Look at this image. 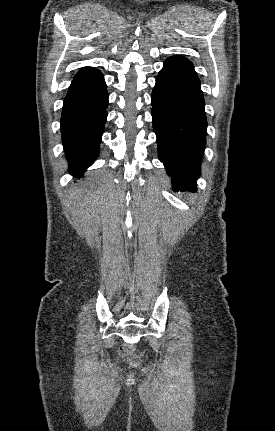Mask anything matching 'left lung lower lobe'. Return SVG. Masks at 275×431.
I'll use <instances>...</instances> for the list:
<instances>
[{"label":"left lung lower lobe","instance_id":"0a47b994","mask_svg":"<svg viewBox=\"0 0 275 431\" xmlns=\"http://www.w3.org/2000/svg\"><path fill=\"white\" fill-rule=\"evenodd\" d=\"M200 80L183 56L166 59L151 103L158 155L174 189L196 188L206 146L207 119Z\"/></svg>","mask_w":275,"mask_h":431}]
</instances>
